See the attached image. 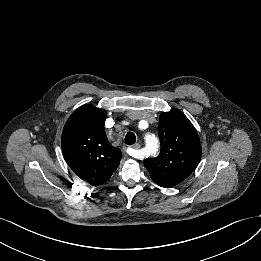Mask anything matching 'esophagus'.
Segmentation results:
<instances>
[{"label": "esophagus", "mask_w": 261, "mask_h": 261, "mask_svg": "<svg viewBox=\"0 0 261 261\" xmlns=\"http://www.w3.org/2000/svg\"><path fill=\"white\" fill-rule=\"evenodd\" d=\"M140 148V144H134L133 146H132V150H131V152H130V156H132L133 158H139V156H138V153H136V151L138 150Z\"/></svg>", "instance_id": "34e87169"}]
</instances>
